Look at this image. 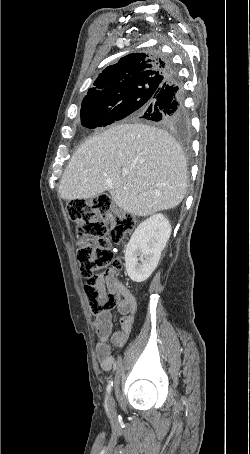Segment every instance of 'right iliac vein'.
<instances>
[{
  "instance_id": "63e3f726",
  "label": "right iliac vein",
  "mask_w": 250,
  "mask_h": 454,
  "mask_svg": "<svg viewBox=\"0 0 250 454\" xmlns=\"http://www.w3.org/2000/svg\"><path fill=\"white\" fill-rule=\"evenodd\" d=\"M108 404H109L110 408L114 407V401H113L112 397H109Z\"/></svg>"
}]
</instances>
